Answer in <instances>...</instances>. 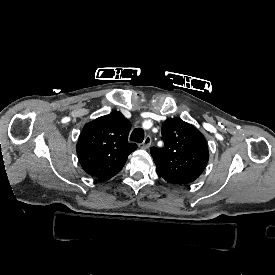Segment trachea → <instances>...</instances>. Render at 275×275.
<instances>
[{"label":"trachea","mask_w":275,"mask_h":275,"mask_svg":"<svg viewBox=\"0 0 275 275\" xmlns=\"http://www.w3.org/2000/svg\"><path fill=\"white\" fill-rule=\"evenodd\" d=\"M144 135L145 133L142 128H135L130 135V140L141 143L144 139Z\"/></svg>","instance_id":"3493384b"}]
</instances>
